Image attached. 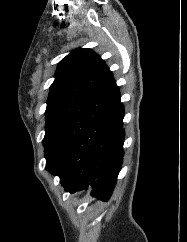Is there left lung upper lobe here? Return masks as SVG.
<instances>
[{"label":"left lung upper lobe","mask_w":187,"mask_h":242,"mask_svg":"<svg viewBox=\"0 0 187 242\" xmlns=\"http://www.w3.org/2000/svg\"><path fill=\"white\" fill-rule=\"evenodd\" d=\"M46 108L43 146L46 169L55 171L79 138L120 101V91L104 60L76 49L58 64Z\"/></svg>","instance_id":"left-lung-upper-lobe-1"}]
</instances>
